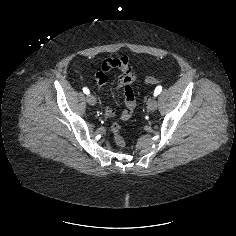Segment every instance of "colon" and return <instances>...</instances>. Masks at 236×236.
Segmentation results:
<instances>
[{
    "label": "colon",
    "instance_id": "1",
    "mask_svg": "<svg viewBox=\"0 0 236 236\" xmlns=\"http://www.w3.org/2000/svg\"><path fill=\"white\" fill-rule=\"evenodd\" d=\"M146 84L148 85H154L156 83L159 82V80L155 77H148L146 80H145ZM111 131H112V134H113V137H114V141L115 143L120 147V148H124L125 147V140H124V137L122 135V127L120 124L118 123H114L112 126H111Z\"/></svg>",
    "mask_w": 236,
    "mask_h": 236
}]
</instances>
